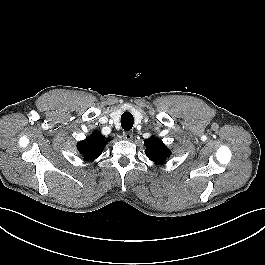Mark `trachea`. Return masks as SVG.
Instances as JSON below:
<instances>
[{
  "label": "trachea",
  "mask_w": 265,
  "mask_h": 265,
  "mask_svg": "<svg viewBox=\"0 0 265 265\" xmlns=\"http://www.w3.org/2000/svg\"><path fill=\"white\" fill-rule=\"evenodd\" d=\"M134 124L133 115L130 112H124L121 116V126L124 130L129 131Z\"/></svg>",
  "instance_id": "trachea-1"
}]
</instances>
